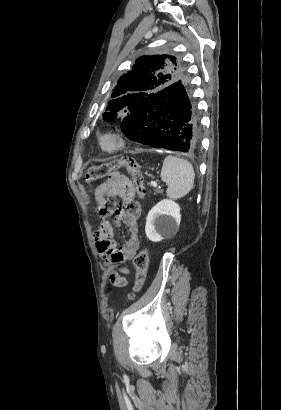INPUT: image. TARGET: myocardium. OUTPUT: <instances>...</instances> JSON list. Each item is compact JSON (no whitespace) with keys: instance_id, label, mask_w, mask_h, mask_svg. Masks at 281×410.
<instances>
[{"instance_id":"obj_1","label":"myocardium","mask_w":281,"mask_h":410,"mask_svg":"<svg viewBox=\"0 0 281 410\" xmlns=\"http://www.w3.org/2000/svg\"><path fill=\"white\" fill-rule=\"evenodd\" d=\"M128 143L127 135L121 130L110 129L100 133L97 137L98 148L106 154L122 151Z\"/></svg>"}]
</instances>
